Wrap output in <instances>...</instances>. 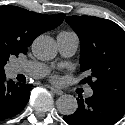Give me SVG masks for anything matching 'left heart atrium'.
Returning <instances> with one entry per match:
<instances>
[{
    "instance_id": "obj_1",
    "label": "left heart atrium",
    "mask_w": 125,
    "mask_h": 125,
    "mask_svg": "<svg viewBox=\"0 0 125 125\" xmlns=\"http://www.w3.org/2000/svg\"><path fill=\"white\" fill-rule=\"evenodd\" d=\"M52 79H53L54 81H56V80L58 79V77H57L56 75H53V76H52Z\"/></svg>"
}]
</instances>
